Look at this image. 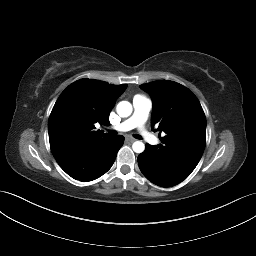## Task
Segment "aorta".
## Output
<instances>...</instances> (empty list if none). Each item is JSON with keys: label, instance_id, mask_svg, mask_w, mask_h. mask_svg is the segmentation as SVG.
<instances>
[{"label": "aorta", "instance_id": "obj_1", "mask_svg": "<svg viewBox=\"0 0 256 256\" xmlns=\"http://www.w3.org/2000/svg\"><path fill=\"white\" fill-rule=\"evenodd\" d=\"M117 114L120 117H129L133 111L132 105L128 101H121L116 107ZM132 149L135 153H142L145 150V145L142 141H135L132 144Z\"/></svg>", "mask_w": 256, "mask_h": 256}]
</instances>
